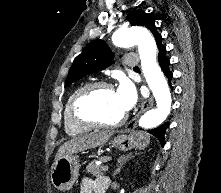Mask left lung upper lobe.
Segmentation results:
<instances>
[{
    "mask_svg": "<svg viewBox=\"0 0 221 193\" xmlns=\"http://www.w3.org/2000/svg\"><path fill=\"white\" fill-rule=\"evenodd\" d=\"M131 25L144 26L148 28L156 39L157 45L161 43V35L157 32L153 18L143 12L135 11L127 16ZM113 54L102 40H95L89 43L79 54L67 76L65 87L81 79L82 77L105 69L112 60Z\"/></svg>",
    "mask_w": 221,
    "mask_h": 193,
    "instance_id": "obj_1",
    "label": "left lung upper lobe"
}]
</instances>
